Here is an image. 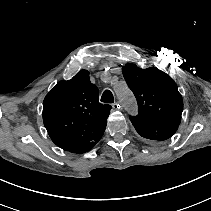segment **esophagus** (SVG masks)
I'll return each instance as SVG.
<instances>
[{
    "instance_id": "34e87169",
    "label": "esophagus",
    "mask_w": 211,
    "mask_h": 211,
    "mask_svg": "<svg viewBox=\"0 0 211 211\" xmlns=\"http://www.w3.org/2000/svg\"><path fill=\"white\" fill-rule=\"evenodd\" d=\"M112 107H113V109H115V110H119V109L122 108L121 105H120L119 103H114V104H112Z\"/></svg>"
}]
</instances>
